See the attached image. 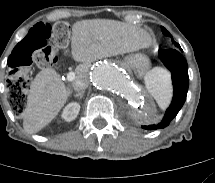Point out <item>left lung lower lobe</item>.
<instances>
[{"mask_svg": "<svg viewBox=\"0 0 215 183\" xmlns=\"http://www.w3.org/2000/svg\"><path fill=\"white\" fill-rule=\"evenodd\" d=\"M182 51V49H180ZM159 57L167 69L171 72L174 94L169 108L162 120L155 125L143 126L144 129L154 130L167 127L178 114L185 103L188 92V66L186 60L177 50H159Z\"/></svg>", "mask_w": 215, "mask_h": 183, "instance_id": "0a47b994", "label": "left lung lower lobe"}]
</instances>
